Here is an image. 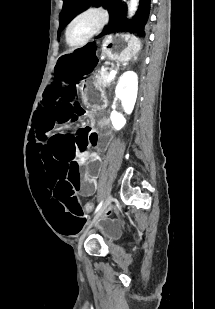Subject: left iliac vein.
Listing matches in <instances>:
<instances>
[{
	"mask_svg": "<svg viewBox=\"0 0 215 309\" xmlns=\"http://www.w3.org/2000/svg\"><path fill=\"white\" fill-rule=\"evenodd\" d=\"M112 201V196H109L107 201H106V204L104 205V208L103 210L99 213V214H96L95 217L86 224V227L85 229L83 230V234L82 236L79 238V242H78V255L81 256L83 254V249H82V245H83V242H84V239L86 237V235L89 233L90 229L92 228V226L98 222V220L100 219V217L102 215H104L106 212H107V208L108 206L110 205Z\"/></svg>",
	"mask_w": 215,
	"mask_h": 309,
	"instance_id": "1",
	"label": "left iliac vein"
}]
</instances>
